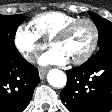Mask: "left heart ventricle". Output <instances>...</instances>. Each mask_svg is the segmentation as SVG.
Segmentation results:
<instances>
[{
  "instance_id": "left-heart-ventricle-1",
  "label": "left heart ventricle",
  "mask_w": 112,
  "mask_h": 112,
  "mask_svg": "<svg viewBox=\"0 0 112 112\" xmlns=\"http://www.w3.org/2000/svg\"><path fill=\"white\" fill-rule=\"evenodd\" d=\"M92 41V29L89 24L81 23L77 25L67 38L53 43V49L61 51L68 60L81 57Z\"/></svg>"
}]
</instances>
